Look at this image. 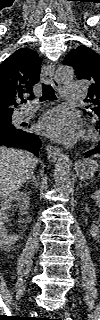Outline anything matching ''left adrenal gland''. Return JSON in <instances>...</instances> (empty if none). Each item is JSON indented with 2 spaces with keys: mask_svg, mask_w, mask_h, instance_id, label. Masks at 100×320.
<instances>
[{
  "mask_svg": "<svg viewBox=\"0 0 100 320\" xmlns=\"http://www.w3.org/2000/svg\"><path fill=\"white\" fill-rule=\"evenodd\" d=\"M87 185V183L86 184H82L81 182H79V187L81 188L82 186H86Z\"/></svg>",
  "mask_w": 100,
  "mask_h": 320,
  "instance_id": "a2214340",
  "label": "left adrenal gland"
}]
</instances>
